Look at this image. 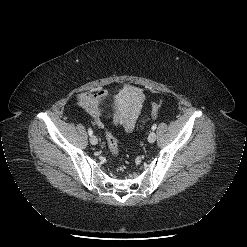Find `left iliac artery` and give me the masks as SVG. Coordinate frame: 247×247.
Masks as SVG:
<instances>
[{
  "label": "left iliac artery",
  "mask_w": 247,
  "mask_h": 247,
  "mask_svg": "<svg viewBox=\"0 0 247 247\" xmlns=\"http://www.w3.org/2000/svg\"><path fill=\"white\" fill-rule=\"evenodd\" d=\"M156 128H157V124L155 123L152 125V130H155Z\"/></svg>",
  "instance_id": "44dca946"
}]
</instances>
